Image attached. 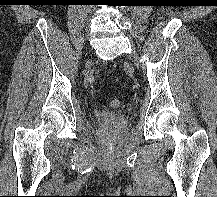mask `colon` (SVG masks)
Wrapping results in <instances>:
<instances>
[{"mask_svg": "<svg viewBox=\"0 0 217 197\" xmlns=\"http://www.w3.org/2000/svg\"><path fill=\"white\" fill-rule=\"evenodd\" d=\"M110 106L113 108L120 106V100L119 99H111L110 100Z\"/></svg>", "mask_w": 217, "mask_h": 197, "instance_id": "colon-1", "label": "colon"}]
</instances>
